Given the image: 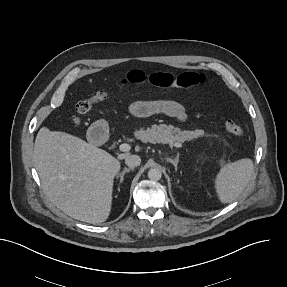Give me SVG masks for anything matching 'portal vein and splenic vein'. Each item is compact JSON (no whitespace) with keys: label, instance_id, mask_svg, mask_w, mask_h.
I'll return each mask as SVG.
<instances>
[{"label":"portal vein and splenic vein","instance_id":"18ae733b","mask_svg":"<svg viewBox=\"0 0 287 287\" xmlns=\"http://www.w3.org/2000/svg\"><path fill=\"white\" fill-rule=\"evenodd\" d=\"M171 145L174 147H177V148L182 147V144L179 142H174V143L172 142ZM119 149H120V151L127 152L131 149V146L129 144L123 143L119 146Z\"/></svg>","mask_w":287,"mask_h":287}]
</instances>
